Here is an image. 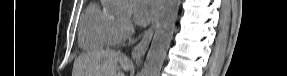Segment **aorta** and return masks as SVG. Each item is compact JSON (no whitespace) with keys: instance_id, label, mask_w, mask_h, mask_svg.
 <instances>
[{"instance_id":"762f6f07","label":"aorta","mask_w":287,"mask_h":76,"mask_svg":"<svg viewBox=\"0 0 287 76\" xmlns=\"http://www.w3.org/2000/svg\"><path fill=\"white\" fill-rule=\"evenodd\" d=\"M118 2V1H116ZM180 0H163L156 30L148 51L141 76H159L172 40Z\"/></svg>"}]
</instances>
